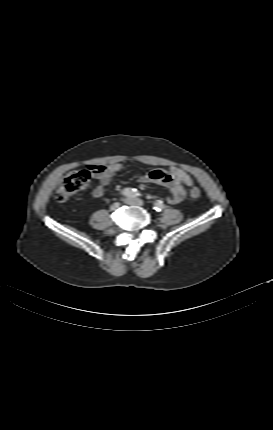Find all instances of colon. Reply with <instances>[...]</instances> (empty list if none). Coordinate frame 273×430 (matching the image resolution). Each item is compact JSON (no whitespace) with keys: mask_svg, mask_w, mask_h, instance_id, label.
Masks as SVG:
<instances>
[{"mask_svg":"<svg viewBox=\"0 0 273 430\" xmlns=\"http://www.w3.org/2000/svg\"><path fill=\"white\" fill-rule=\"evenodd\" d=\"M92 175L88 173V168L68 174L59 185L55 193V199L58 202H65L72 198L78 192L86 189L90 183ZM201 191L194 187L190 190L191 198H199Z\"/></svg>","mask_w":273,"mask_h":430,"instance_id":"obj_1","label":"colon"}]
</instances>
